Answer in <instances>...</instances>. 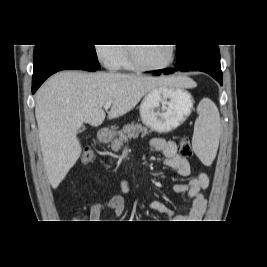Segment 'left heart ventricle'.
Segmentation results:
<instances>
[{
  "label": "left heart ventricle",
  "mask_w": 267,
  "mask_h": 267,
  "mask_svg": "<svg viewBox=\"0 0 267 267\" xmlns=\"http://www.w3.org/2000/svg\"><path fill=\"white\" fill-rule=\"evenodd\" d=\"M138 60L148 66H159L170 59V46L163 44L158 46H134Z\"/></svg>",
  "instance_id": "left-heart-ventricle-1"
}]
</instances>
